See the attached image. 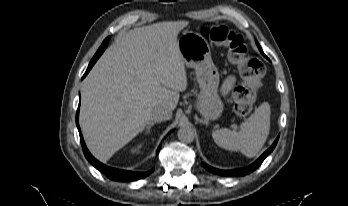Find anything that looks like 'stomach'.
Returning a JSON list of instances; mask_svg holds the SVG:
<instances>
[{"instance_id": "obj_1", "label": "stomach", "mask_w": 348, "mask_h": 206, "mask_svg": "<svg viewBox=\"0 0 348 206\" xmlns=\"http://www.w3.org/2000/svg\"><path fill=\"white\" fill-rule=\"evenodd\" d=\"M179 52L187 67L194 68L200 93L196 108L205 122L216 120L223 104L218 95L219 73L207 41L194 32H184L177 40Z\"/></svg>"}]
</instances>
